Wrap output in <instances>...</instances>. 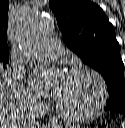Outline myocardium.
Wrapping results in <instances>:
<instances>
[{
    "label": "myocardium",
    "instance_id": "1",
    "mask_svg": "<svg viewBox=\"0 0 125 128\" xmlns=\"http://www.w3.org/2000/svg\"><path fill=\"white\" fill-rule=\"evenodd\" d=\"M68 75L87 74L92 77L98 84L99 97L94 106L81 112H68L62 109L57 102L54 103V108L58 116L69 121H80L94 117L106 105L108 99L107 85L103 77L95 70L87 66H74L68 72Z\"/></svg>",
    "mask_w": 125,
    "mask_h": 128
}]
</instances>
